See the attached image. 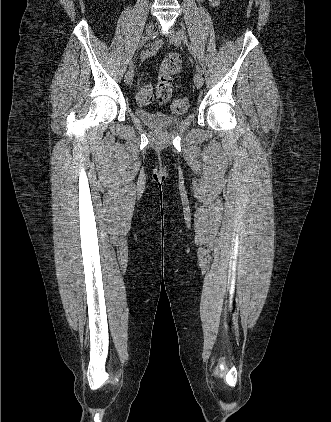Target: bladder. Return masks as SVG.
<instances>
[{"label":"bladder","mask_w":331,"mask_h":422,"mask_svg":"<svg viewBox=\"0 0 331 422\" xmlns=\"http://www.w3.org/2000/svg\"><path fill=\"white\" fill-rule=\"evenodd\" d=\"M185 113L186 110L172 114L161 110L152 111L139 107L135 109V114L138 118L149 127L155 129H163L178 125Z\"/></svg>","instance_id":"31cf9c89"}]
</instances>
